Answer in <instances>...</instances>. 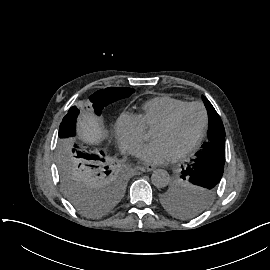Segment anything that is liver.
<instances>
[{
    "label": "liver",
    "mask_w": 270,
    "mask_h": 270,
    "mask_svg": "<svg viewBox=\"0 0 270 270\" xmlns=\"http://www.w3.org/2000/svg\"><path fill=\"white\" fill-rule=\"evenodd\" d=\"M78 138L88 145H98L105 139L107 131L102 120L92 112L82 113L77 124Z\"/></svg>",
    "instance_id": "obj_1"
}]
</instances>
